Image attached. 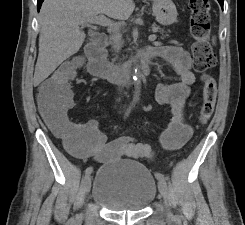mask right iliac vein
<instances>
[{"mask_svg": "<svg viewBox=\"0 0 245 225\" xmlns=\"http://www.w3.org/2000/svg\"><path fill=\"white\" fill-rule=\"evenodd\" d=\"M91 176L90 175H86V177L84 178L83 181V188H84V193L88 194L90 189H91Z\"/></svg>", "mask_w": 245, "mask_h": 225, "instance_id": "1", "label": "right iliac vein"}]
</instances>
